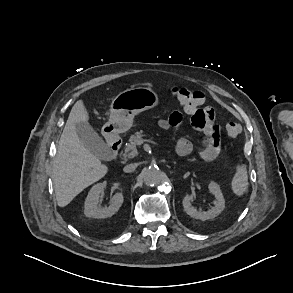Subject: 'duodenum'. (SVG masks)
<instances>
[{
    "label": "duodenum",
    "instance_id": "1",
    "mask_svg": "<svg viewBox=\"0 0 293 293\" xmlns=\"http://www.w3.org/2000/svg\"><path fill=\"white\" fill-rule=\"evenodd\" d=\"M122 141L117 137H110L108 146L111 154V158L116 160L119 156Z\"/></svg>",
    "mask_w": 293,
    "mask_h": 293
}]
</instances>
